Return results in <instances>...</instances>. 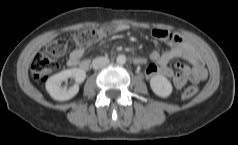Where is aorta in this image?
Listing matches in <instances>:
<instances>
[{
  "instance_id": "obj_1",
  "label": "aorta",
  "mask_w": 238,
  "mask_h": 145,
  "mask_svg": "<svg viewBox=\"0 0 238 145\" xmlns=\"http://www.w3.org/2000/svg\"><path fill=\"white\" fill-rule=\"evenodd\" d=\"M116 62L120 65L126 63V56L125 55H118L116 58Z\"/></svg>"
}]
</instances>
